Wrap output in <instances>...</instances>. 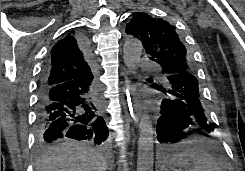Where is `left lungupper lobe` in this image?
<instances>
[{
	"instance_id": "obj_1",
	"label": "left lung upper lobe",
	"mask_w": 245,
	"mask_h": 171,
	"mask_svg": "<svg viewBox=\"0 0 245 171\" xmlns=\"http://www.w3.org/2000/svg\"><path fill=\"white\" fill-rule=\"evenodd\" d=\"M126 33L142 42L150 59L163 68L164 75L166 68L171 65H178L194 72L190 54L182 42L180 33L166 20L135 12L126 25Z\"/></svg>"
}]
</instances>
